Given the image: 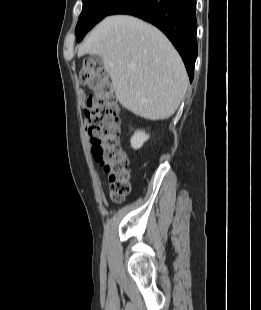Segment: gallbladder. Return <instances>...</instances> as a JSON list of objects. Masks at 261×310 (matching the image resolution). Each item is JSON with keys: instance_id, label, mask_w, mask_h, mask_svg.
<instances>
[{"instance_id": "1", "label": "gallbladder", "mask_w": 261, "mask_h": 310, "mask_svg": "<svg viewBox=\"0 0 261 310\" xmlns=\"http://www.w3.org/2000/svg\"><path fill=\"white\" fill-rule=\"evenodd\" d=\"M93 58H94V56H93ZM95 59H96V61L99 62V63L102 62V60H101V58H100L99 56H98V57H95Z\"/></svg>"}]
</instances>
